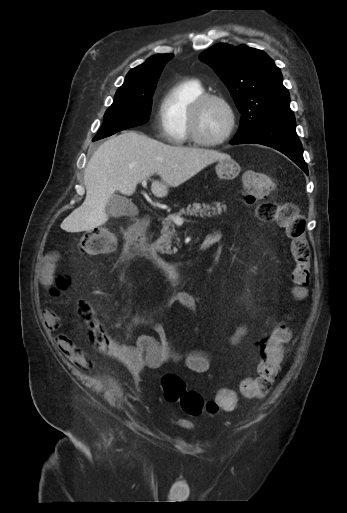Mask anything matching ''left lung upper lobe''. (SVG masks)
Listing matches in <instances>:
<instances>
[{
    "instance_id": "left-lung-upper-lobe-1",
    "label": "left lung upper lobe",
    "mask_w": 347,
    "mask_h": 513,
    "mask_svg": "<svg viewBox=\"0 0 347 513\" xmlns=\"http://www.w3.org/2000/svg\"><path fill=\"white\" fill-rule=\"evenodd\" d=\"M224 82L241 116L235 137L278 120H295L282 74L263 51L245 45L217 44L200 54Z\"/></svg>"
}]
</instances>
